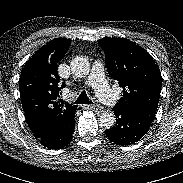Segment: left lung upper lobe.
<instances>
[{
    "instance_id": "obj_1",
    "label": "left lung upper lobe",
    "mask_w": 183,
    "mask_h": 183,
    "mask_svg": "<svg viewBox=\"0 0 183 183\" xmlns=\"http://www.w3.org/2000/svg\"><path fill=\"white\" fill-rule=\"evenodd\" d=\"M98 43L105 52L110 77L123 88L114 109L152 122L161 92V74L153 57L126 38L104 37Z\"/></svg>"
}]
</instances>
